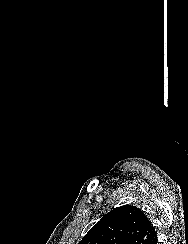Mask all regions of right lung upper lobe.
Segmentation results:
<instances>
[{"label":"right lung upper lobe","mask_w":188,"mask_h":244,"mask_svg":"<svg viewBox=\"0 0 188 244\" xmlns=\"http://www.w3.org/2000/svg\"><path fill=\"white\" fill-rule=\"evenodd\" d=\"M154 226L135 206H121L104 215L78 244H151Z\"/></svg>","instance_id":"obj_1"}]
</instances>
